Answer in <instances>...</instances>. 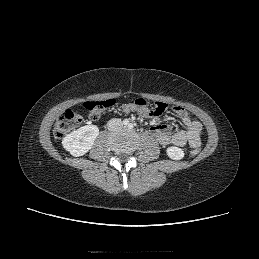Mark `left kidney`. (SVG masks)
Instances as JSON below:
<instances>
[{
	"label": "left kidney",
	"mask_w": 259,
	"mask_h": 259,
	"mask_svg": "<svg viewBox=\"0 0 259 259\" xmlns=\"http://www.w3.org/2000/svg\"><path fill=\"white\" fill-rule=\"evenodd\" d=\"M167 155L173 160H181L184 157V151L178 147H168Z\"/></svg>",
	"instance_id": "1"
}]
</instances>
